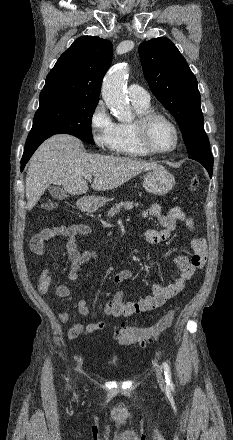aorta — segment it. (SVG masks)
Masks as SVG:
<instances>
[{"mask_svg": "<svg viewBox=\"0 0 233 440\" xmlns=\"http://www.w3.org/2000/svg\"><path fill=\"white\" fill-rule=\"evenodd\" d=\"M126 74L125 66H116L108 71L102 83V98L119 121H129L132 117L124 88Z\"/></svg>", "mask_w": 233, "mask_h": 440, "instance_id": "762f6f07", "label": "aorta"}]
</instances>
